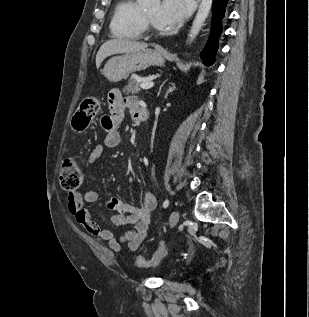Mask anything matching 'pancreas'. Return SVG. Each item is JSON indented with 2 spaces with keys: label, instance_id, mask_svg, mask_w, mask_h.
Returning <instances> with one entry per match:
<instances>
[{
  "label": "pancreas",
  "instance_id": "pancreas-1",
  "mask_svg": "<svg viewBox=\"0 0 309 317\" xmlns=\"http://www.w3.org/2000/svg\"><path fill=\"white\" fill-rule=\"evenodd\" d=\"M126 94H137L140 92V82L136 79V76H131L128 80V85L123 89Z\"/></svg>",
  "mask_w": 309,
  "mask_h": 317
}]
</instances>
